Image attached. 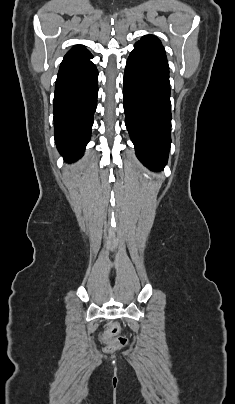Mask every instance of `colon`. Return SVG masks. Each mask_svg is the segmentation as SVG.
<instances>
[{
	"label": "colon",
	"mask_w": 235,
	"mask_h": 404,
	"mask_svg": "<svg viewBox=\"0 0 235 404\" xmlns=\"http://www.w3.org/2000/svg\"><path fill=\"white\" fill-rule=\"evenodd\" d=\"M118 325L110 323L107 330L101 335L102 341L106 344L109 351H115L126 346L128 340L126 336L116 335L118 332Z\"/></svg>",
	"instance_id": "obj_1"
}]
</instances>
